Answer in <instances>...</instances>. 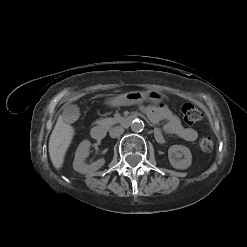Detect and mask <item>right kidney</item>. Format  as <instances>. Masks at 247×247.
Wrapping results in <instances>:
<instances>
[{
    "label": "right kidney",
    "instance_id": "obj_1",
    "mask_svg": "<svg viewBox=\"0 0 247 247\" xmlns=\"http://www.w3.org/2000/svg\"><path fill=\"white\" fill-rule=\"evenodd\" d=\"M91 143L88 140L82 141L75 153L73 168L81 174H91L100 169L105 164V159L101 158L90 165L84 163L85 158L89 155Z\"/></svg>",
    "mask_w": 247,
    "mask_h": 247
}]
</instances>
